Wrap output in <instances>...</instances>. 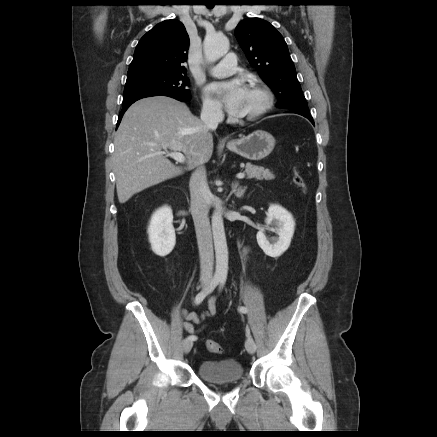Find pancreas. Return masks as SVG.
Returning <instances> with one entry per match:
<instances>
[{
  "label": "pancreas",
  "instance_id": "1",
  "mask_svg": "<svg viewBox=\"0 0 437 437\" xmlns=\"http://www.w3.org/2000/svg\"><path fill=\"white\" fill-rule=\"evenodd\" d=\"M245 172L249 179L255 178L257 180H273L275 179V175L264 167L255 166L250 163L246 164Z\"/></svg>",
  "mask_w": 437,
  "mask_h": 437
}]
</instances>
